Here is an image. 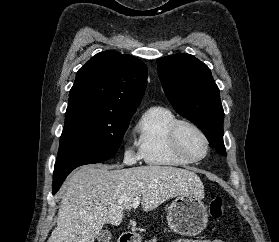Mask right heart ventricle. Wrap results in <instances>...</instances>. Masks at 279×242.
I'll use <instances>...</instances> for the list:
<instances>
[{
  "label": "right heart ventricle",
  "instance_id": "1",
  "mask_svg": "<svg viewBox=\"0 0 279 242\" xmlns=\"http://www.w3.org/2000/svg\"><path fill=\"white\" fill-rule=\"evenodd\" d=\"M177 121L172 111L154 106L147 109L137 125L138 149L146 164L163 167H180L189 163L178 157L169 141V131Z\"/></svg>",
  "mask_w": 279,
  "mask_h": 242
}]
</instances>
